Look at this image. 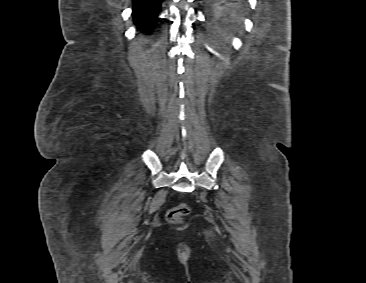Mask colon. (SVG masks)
Instances as JSON below:
<instances>
[{
	"label": "colon",
	"mask_w": 366,
	"mask_h": 283,
	"mask_svg": "<svg viewBox=\"0 0 366 283\" xmlns=\"http://www.w3.org/2000/svg\"><path fill=\"white\" fill-rule=\"evenodd\" d=\"M189 214L190 207L186 203H181L168 212L167 219L172 224H179Z\"/></svg>",
	"instance_id": "obj_1"
}]
</instances>
